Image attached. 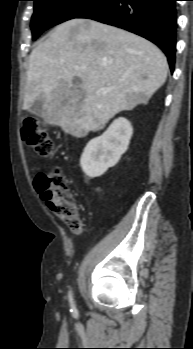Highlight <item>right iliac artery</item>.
I'll return each mask as SVG.
<instances>
[{"label": "right iliac artery", "instance_id": "obj_1", "mask_svg": "<svg viewBox=\"0 0 193 349\" xmlns=\"http://www.w3.org/2000/svg\"><path fill=\"white\" fill-rule=\"evenodd\" d=\"M69 301L71 303V311H75L76 309H75V306L73 304V298H72V294L71 293L69 294Z\"/></svg>", "mask_w": 193, "mask_h": 349}]
</instances>
